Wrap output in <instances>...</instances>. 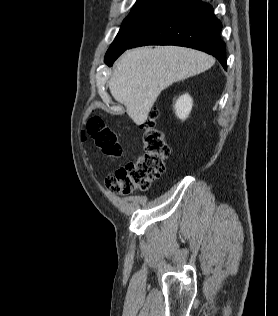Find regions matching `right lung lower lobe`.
<instances>
[{
    "instance_id": "98d812e1",
    "label": "right lung lower lobe",
    "mask_w": 278,
    "mask_h": 316,
    "mask_svg": "<svg viewBox=\"0 0 278 316\" xmlns=\"http://www.w3.org/2000/svg\"><path fill=\"white\" fill-rule=\"evenodd\" d=\"M221 29L222 24L214 16L211 5L201 0H170L127 49L143 45L190 47L213 55L226 69V45L220 37ZM121 53L105 61L106 64L112 65Z\"/></svg>"
}]
</instances>
